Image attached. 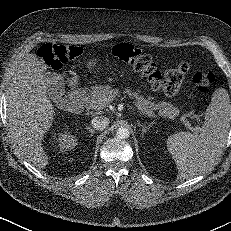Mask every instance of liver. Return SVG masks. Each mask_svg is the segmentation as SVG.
Returning a JSON list of instances; mask_svg holds the SVG:
<instances>
[{
    "mask_svg": "<svg viewBox=\"0 0 231 231\" xmlns=\"http://www.w3.org/2000/svg\"><path fill=\"white\" fill-rule=\"evenodd\" d=\"M47 89L42 62L31 53L16 67L5 93L9 134L20 152L39 169L48 165L42 141L55 116Z\"/></svg>",
    "mask_w": 231,
    "mask_h": 231,
    "instance_id": "1",
    "label": "liver"
}]
</instances>
